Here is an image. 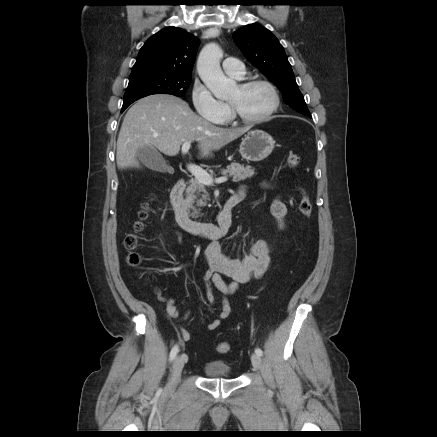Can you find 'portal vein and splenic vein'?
I'll return each instance as SVG.
<instances>
[{
    "instance_id": "portal-vein-and-splenic-vein-1",
    "label": "portal vein and splenic vein",
    "mask_w": 437,
    "mask_h": 437,
    "mask_svg": "<svg viewBox=\"0 0 437 437\" xmlns=\"http://www.w3.org/2000/svg\"><path fill=\"white\" fill-rule=\"evenodd\" d=\"M191 146V142L190 141H186L183 143L182 145V154H186ZM188 171L195 177V179H197L200 183L204 184V185H211L214 182L215 183H223L227 181V177H219L217 179H213L212 176H210L205 170H203L202 168H200L199 166L193 165V164H189L187 166Z\"/></svg>"
}]
</instances>
